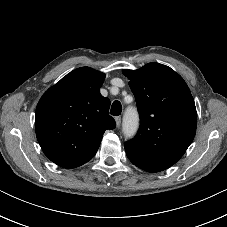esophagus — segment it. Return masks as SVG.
<instances>
[{"instance_id": "obj_1", "label": "esophagus", "mask_w": 227, "mask_h": 227, "mask_svg": "<svg viewBox=\"0 0 227 227\" xmlns=\"http://www.w3.org/2000/svg\"><path fill=\"white\" fill-rule=\"evenodd\" d=\"M116 126L119 127L121 125V117H115Z\"/></svg>"}]
</instances>
